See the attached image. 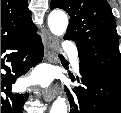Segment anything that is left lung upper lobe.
Wrapping results in <instances>:
<instances>
[{"label":"left lung upper lobe","instance_id":"obj_1","mask_svg":"<svg viewBox=\"0 0 121 113\" xmlns=\"http://www.w3.org/2000/svg\"><path fill=\"white\" fill-rule=\"evenodd\" d=\"M69 16L65 39L76 43L80 62L88 64L121 85V59L115 18L106 0H52Z\"/></svg>","mask_w":121,"mask_h":113}]
</instances>
